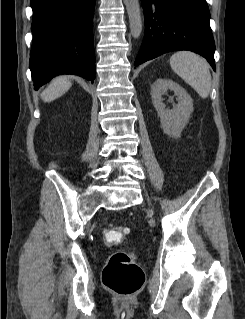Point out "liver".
<instances>
[{
    "instance_id": "liver-1",
    "label": "liver",
    "mask_w": 245,
    "mask_h": 319,
    "mask_svg": "<svg viewBox=\"0 0 245 319\" xmlns=\"http://www.w3.org/2000/svg\"><path fill=\"white\" fill-rule=\"evenodd\" d=\"M72 83L67 76H60L55 78L51 84L41 93V98L45 102H51L59 97H61L64 93H66Z\"/></svg>"
}]
</instances>
